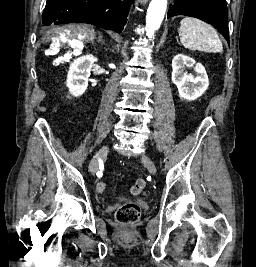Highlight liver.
I'll return each mask as SVG.
<instances>
[{
    "label": "liver",
    "mask_w": 256,
    "mask_h": 267,
    "mask_svg": "<svg viewBox=\"0 0 256 267\" xmlns=\"http://www.w3.org/2000/svg\"><path fill=\"white\" fill-rule=\"evenodd\" d=\"M61 32H67V40H73L74 36L83 34L84 38L82 42H92L96 36V32L87 28V26H74V24H69V26H63V28H55L53 30V38H59Z\"/></svg>",
    "instance_id": "6515ba94"
}]
</instances>
